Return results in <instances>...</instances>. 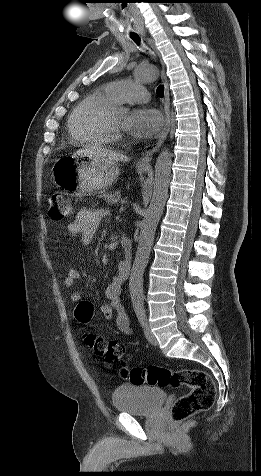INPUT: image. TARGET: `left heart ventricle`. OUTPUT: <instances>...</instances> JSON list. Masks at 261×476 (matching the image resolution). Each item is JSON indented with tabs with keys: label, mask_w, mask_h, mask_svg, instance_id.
Segmentation results:
<instances>
[{
	"label": "left heart ventricle",
	"mask_w": 261,
	"mask_h": 476,
	"mask_svg": "<svg viewBox=\"0 0 261 476\" xmlns=\"http://www.w3.org/2000/svg\"><path fill=\"white\" fill-rule=\"evenodd\" d=\"M127 119V114L124 112H116L113 114V121L119 127H124L125 121Z\"/></svg>",
	"instance_id": "obj_1"
}]
</instances>
